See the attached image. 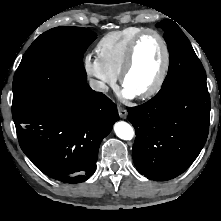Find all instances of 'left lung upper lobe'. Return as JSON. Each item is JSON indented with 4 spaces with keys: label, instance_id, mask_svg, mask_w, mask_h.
<instances>
[{
    "label": "left lung upper lobe",
    "instance_id": "1",
    "mask_svg": "<svg viewBox=\"0 0 221 221\" xmlns=\"http://www.w3.org/2000/svg\"><path fill=\"white\" fill-rule=\"evenodd\" d=\"M156 27L165 31L164 39L170 54L169 70L162 87L177 82L207 86L202 63L178 25L166 19L159 22Z\"/></svg>",
    "mask_w": 221,
    "mask_h": 221
}]
</instances>
